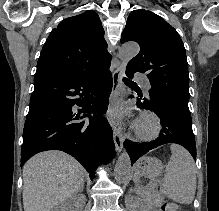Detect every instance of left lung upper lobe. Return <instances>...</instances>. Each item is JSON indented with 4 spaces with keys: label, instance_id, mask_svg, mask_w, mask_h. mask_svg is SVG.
<instances>
[{
    "label": "left lung upper lobe",
    "instance_id": "1",
    "mask_svg": "<svg viewBox=\"0 0 219 211\" xmlns=\"http://www.w3.org/2000/svg\"><path fill=\"white\" fill-rule=\"evenodd\" d=\"M135 41L139 54L126 72L145 73L150 81L149 97L189 111V74L186 51L177 31L155 13L138 9L130 13L121 42Z\"/></svg>",
    "mask_w": 219,
    "mask_h": 211
}]
</instances>
